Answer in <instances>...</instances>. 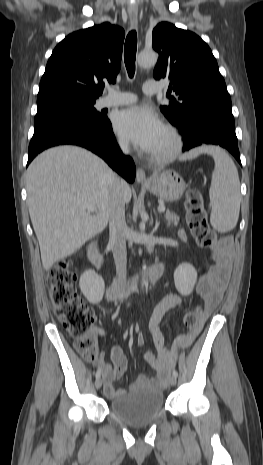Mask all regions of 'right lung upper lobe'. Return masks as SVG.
I'll return each instance as SVG.
<instances>
[{
  "label": "right lung upper lobe",
  "instance_id": "1",
  "mask_svg": "<svg viewBox=\"0 0 263 465\" xmlns=\"http://www.w3.org/2000/svg\"><path fill=\"white\" fill-rule=\"evenodd\" d=\"M124 37L122 28L108 22L65 37L48 60L37 101L58 96L98 98L103 81L116 82Z\"/></svg>",
  "mask_w": 263,
  "mask_h": 465
}]
</instances>
